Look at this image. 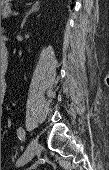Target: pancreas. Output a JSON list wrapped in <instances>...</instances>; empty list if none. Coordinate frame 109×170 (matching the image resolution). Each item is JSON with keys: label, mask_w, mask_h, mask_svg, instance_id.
Returning a JSON list of instances; mask_svg holds the SVG:
<instances>
[{"label": "pancreas", "mask_w": 109, "mask_h": 170, "mask_svg": "<svg viewBox=\"0 0 109 170\" xmlns=\"http://www.w3.org/2000/svg\"><path fill=\"white\" fill-rule=\"evenodd\" d=\"M12 13L11 11V6L10 5H6L1 9V17L2 18H7L9 17V15Z\"/></svg>", "instance_id": "pancreas-1"}]
</instances>
